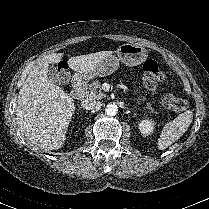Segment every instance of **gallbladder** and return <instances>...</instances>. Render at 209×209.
I'll return each instance as SVG.
<instances>
[{
	"label": "gallbladder",
	"mask_w": 209,
	"mask_h": 209,
	"mask_svg": "<svg viewBox=\"0 0 209 209\" xmlns=\"http://www.w3.org/2000/svg\"><path fill=\"white\" fill-rule=\"evenodd\" d=\"M47 75H48V79L52 83L57 84V85L61 84L59 72L57 71L56 67L53 64L49 66Z\"/></svg>",
	"instance_id": "bac80fb5"
}]
</instances>
